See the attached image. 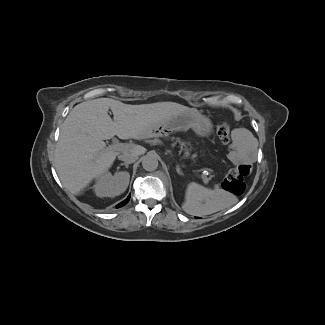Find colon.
I'll list each match as a JSON object with an SVG mask.
<instances>
[{"instance_id": "colon-1", "label": "colon", "mask_w": 325, "mask_h": 325, "mask_svg": "<svg viewBox=\"0 0 325 325\" xmlns=\"http://www.w3.org/2000/svg\"><path fill=\"white\" fill-rule=\"evenodd\" d=\"M216 133L223 144L230 141V129L227 124L221 123L216 126ZM249 166L240 165L225 176L222 181V188L232 194L241 195L245 190L244 177L249 174Z\"/></svg>"}]
</instances>
